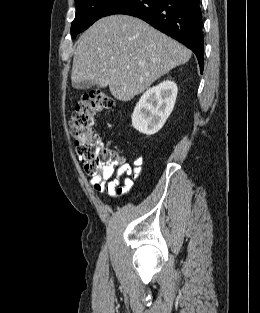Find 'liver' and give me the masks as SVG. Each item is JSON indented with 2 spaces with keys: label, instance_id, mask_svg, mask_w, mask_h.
Segmentation results:
<instances>
[{
  "label": "liver",
  "instance_id": "1",
  "mask_svg": "<svg viewBox=\"0 0 260 313\" xmlns=\"http://www.w3.org/2000/svg\"><path fill=\"white\" fill-rule=\"evenodd\" d=\"M192 52L174 39L129 15L99 19L79 38L72 82L109 86L120 101H130Z\"/></svg>",
  "mask_w": 260,
  "mask_h": 313
}]
</instances>
